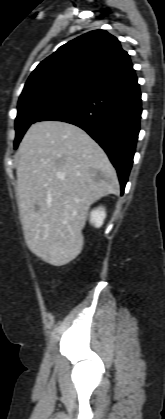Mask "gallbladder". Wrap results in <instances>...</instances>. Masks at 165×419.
I'll use <instances>...</instances> for the list:
<instances>
[{
	"instance_id": "gallbladder-1",
	"label": "gallbladder",
	"mask_w": 165,
	"mask_h": 419,
	"mask_svg": "<svg viewBox=\"0 0 165 419\" xmlns=\"http://www.w3.org/2000/svg\"><path fill=\"white\" fill-rule=\"evenodd\" d=\"M36 210H38V206H36Z\"/></svg>"
}]
</instances>
